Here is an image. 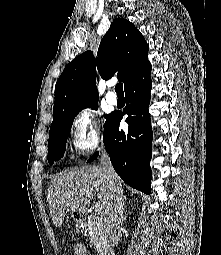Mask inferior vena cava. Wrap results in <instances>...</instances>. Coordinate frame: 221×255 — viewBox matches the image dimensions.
<instances>
[{"mask_svg":"<svg viewBox=\"0 0 221 255\" xmlns=\"http://www.w3.org/2000/svg\"><path fill=\"white\" fill-rule=\"evenodd\" d=\"M101 169L106 180L112 184V194L104 212V231L110 246L114 247L120 239V228L123 223V190L121 185L115 183V173L110 158L105 151L100 154Z\"/></svg>","mask_w":221,"mask_h":255,"instance_id":"602c4592","label":"inferior vena cava"}]
</instances>
